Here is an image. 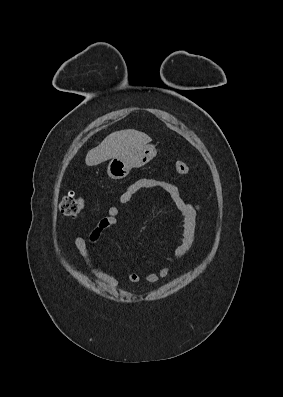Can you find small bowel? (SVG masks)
Returning a JSON list of instances; mask_svg holds the SVG:
<instances>
[{
  "label": "small bowel",
  "instance_id": "small-bowel-1",
  "mask_svg": "<svg viewBox=\"0 0 283 397\" xmlns=\"http://www.w3.org/2000/svg\"><path fill=\"white\" fill-rule=\"evenodd\" d=\"M142 189H158L165 191L172 198L175 203L182 220V240L176 247L173 256L169 257V261H177L182 259L192 248L195 240L196 218L199 213V206L195 203H188L184 201L180 195L178 188L171 182L158 179H139L132 183L119 198V205H124L130 202ZM120 214V207L118 205L111 206L108 209L107 215L102 217L96 226L92 229L89 235V242L97 243L103 232L117 223V217ZM74 245L79 254L89 266V274L95 277L98 281L109 285L112 288H117L118 280L106 273L102 265L96 263L88 249L86 239L78 235L74 239ZM69 254L75 257L73 249H69ZM170 269L162 267L157 272L149 273L144 277L147 283L155 284L161 279L168 277ZM127 280L132 284H137L141 281V277L137 273L127 274Z\"/></svg>",
  "mask_w": 283,
  "mask_h": 397
}]
</instances>
